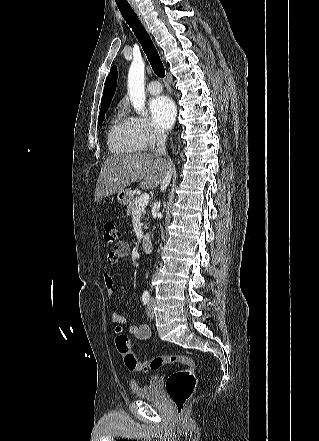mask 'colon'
Here are the masks:
<instances>
[{"instance_id": "1", "label": "colon", "mask_w": 319, "mask_h": 441, "mask_svg": "<svg viewBox=\"0 0 319 441\" xmlns=\"http://www.w3.org/2000/svg\"><path fill=\"white\" fill-rule=\"evenodd\" d=\"M120 239V232L113 222L104 225V240L107 244H113ZM115 344L117 351L123 356L124 363L132 372L157 371L165 365H182L185 368L171 373L165 382V389L174 404L176 411L181 415L186 402L194 393L196 387L197 365L193 358L180 354L156 356L148 360L140 361L131 351L129 337L120 327L115 330Z\"/></svg>"}]
</instances>
